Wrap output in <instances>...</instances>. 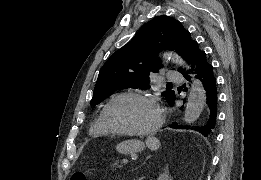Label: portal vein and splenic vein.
I'll list each match as a JSON object with an SVG mask.
<instances>
[{"mask_svg": "<svg viewBox=\"0 0 261 180\" xmlns=\"http://www.w3.org/2000/svg\"><path fill=\"white\" fill-rule=\"evenodd\" d=\"M120 162L123 163L124 165H129L130 164V161H129L128 158H121Z\"/></svg>", "mask_w": 261, "mask_h": 180, "instance_id": "18ae733b", "label": "portal vein and splenic vein"}]
</instances>
